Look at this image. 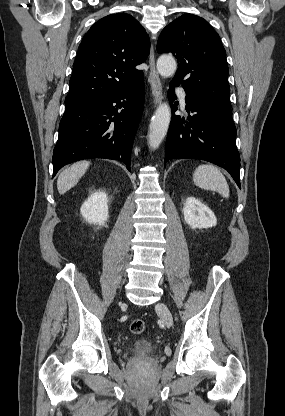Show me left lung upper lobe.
<instances>
[{
	"label": "left lung upper lobe",
	"mask_w": 285,
	"mask_h": 416,
	"mask_svg": "<svg viewBox=\"0 0 285 416\" xmlns=\"http://www.w3.org/2000/svg\"><path fill=\"white\" fill-rule=\"evenodd\" d=\"M158 53H172L179 68L172 80L189 96L230 106L226 52L218 33L203 18L183 14L161 32Z\"/></svg>",
	"instance_id": "1"
}]
</instances>
